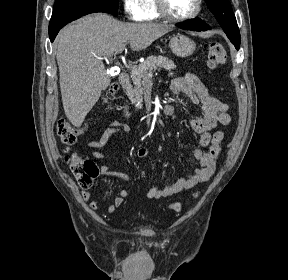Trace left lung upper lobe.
<instances>
[{"label": "left lung upper lobe", "instance_id": "1", "mask_svg": "<svg viewBox=\"0 0 288 280\" xmlns=\"http://www.w3.org/2000/svg\"><path fill=\"white\" fill-rule=\"evenodd\" d=\"M208 8L234 45H240V32L229 0H205Z\"/></svg>", "mask_w": 288, "mask_h": 280}]
</instances>
